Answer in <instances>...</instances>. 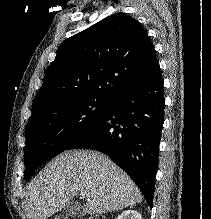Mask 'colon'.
<instances>
[{
    "label": "colon",
    "mask_w": 211,
    "mask_h": 219,
    "mask_svg": "<svg viewBox=\"0 0 211 219\" xmlns=\"http://www.w3.org/2000/svg\"><path fill=\"white\" fill-rule=\"evenodd\" d=\"M53 219H76V218L70 215H61V216L54 217ZM81 219H105V218L103 216L93 215V216H86Z\"/></svg>",
    "instance_id": "5ec220e1"
}]
</instances>
